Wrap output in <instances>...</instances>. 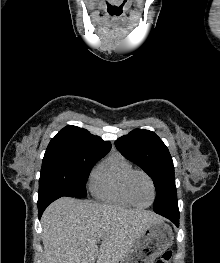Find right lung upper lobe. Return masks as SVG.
Listing matches in <instances>:
<instances>
[{"mask_svg":"<svg viewBox=\"0 0 220 263\" xmlns=\"http://www.w3.org/2000/svg\"><path fill=\"white\" fill-rule=\"evenodd\" d=\"M111 143L77 126L68 125L50 141L46 151H83L106 155Z\"/></svg>","mask_w":220,"mask_h":263,"instance_id":"cb5924a9","label":"right lung upper lobe"}]
</instances>
